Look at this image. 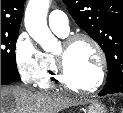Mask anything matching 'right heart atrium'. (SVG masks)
<instances>
[{"label":"right heart atrium","instance_id":"1","mask_svg":"<svg viewBox=\"0 0 123 113\" xmlns=\"http://www.w3.org/2000/svg\"><path fill=\"white\" fill-rule=\"evenodd\" d=\"M13 56L21 82L26 86L38 85L42 71L43 53L28 33L20 32L16 37Z\"/></svg>","mask_w":123,"mask_h":113}]
</instances>
